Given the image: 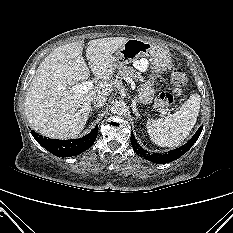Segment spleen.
Here are the masks:
<instances>
[{"mask_svg": "<svg viewBox=\"0 0 233 233\" xmlns=\"http://www.w3.org/2000/svg\"><path fill=\"white\" fill-rule=\"evenodd\" d=\"M200 102V96L192 94L179 111L165 118L148 120L146 128L151 140L161 147L178 146L194 127L200 110Z\"/></svg>", "mask_w": 233, "mask_h": 233, "instance_id": "spleen-1", "label": "spleen"}]
</instances>
